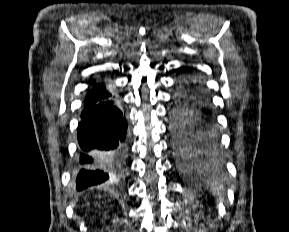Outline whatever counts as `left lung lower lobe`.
Listing matches in <instances>:
<instances>
[{
	"mask_svg": "<svg viewBox=\"0 0 289 232\" xmlns=\"http://www.w3.org/2000/svg\"><path fill=\"white\" fill-rule=\"evenodd\" d=\"M182 70L184 74L181 77V83L187 104L181 114L189 116L200 134L218 145L219 130L202 83L192 71L187 68H182Z\"/></svg>",
	"mask_w": 289,
	"mask_h": 232,
	"instance_id": "1",
	"label": "left lung lower lobe"
}]
</instances>
